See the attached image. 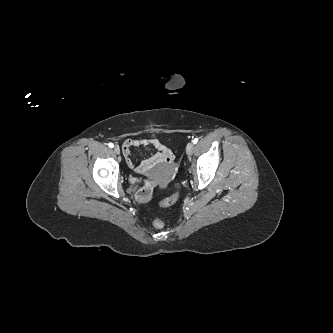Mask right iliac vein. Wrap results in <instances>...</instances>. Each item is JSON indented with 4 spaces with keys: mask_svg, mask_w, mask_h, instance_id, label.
I'll use <instances>...</instances> for the list:
<instances>
[{
    "mask_svg": "<svg viewBox=\"0 0 333 333\" xmlns=\"http://www.w3.org/2000/svg\"><path fill=\"white\" fill-rule=\"evenodd\" d=\"M114 152H115L116 154H120V149H119L118 146H115V147H114Z\"/></svg>",
    "mask_w": 333,
    "mask_h": 333,
    "instance_id": "obj_1",
    "label": "right iliac vein"
}]
</instances>
